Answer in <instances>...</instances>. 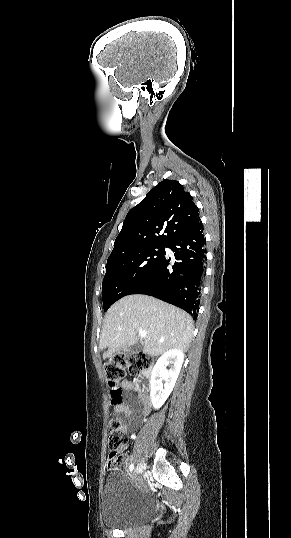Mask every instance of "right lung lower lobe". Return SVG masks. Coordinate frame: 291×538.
I'll use <instances>...</instances> for the list:
<instances>
[{
	"label": "right lung lower lobe",
	"instance_id": "1",
	"mask_svg": "<svg viewBox=\"0 0 291 538\" xmlns=\"http://www.w3.org/2000/svg\"><path fill=\"white\" fill-rule=\"evenodd\" d=\"M205 244L201 223L174 238L167 247L174 252L176 261L171 262L164 255L131 294L156 297L184 309L196 319L205 277Z\"/></svg>",
	"mask_w": 291,
	"mask_h": 538
}]
</instances>
